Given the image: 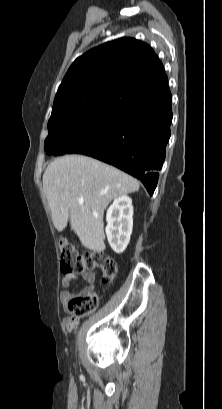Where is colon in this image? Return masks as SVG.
Returning a JSON list of instances; mask_svg holds the SVG:
<instances>
[{"label":"colon","instance_id":"5ec220e1","mask_svg":"<svg viewBox=\"0 0 222 409\" xmlns=\"http://www.w3.org/2000/svg\"><path fill=\"white\" fill-rule=\"evenodd\" d=\"M60 267L63 273H86L94 269L102 270V282L111 283L117 274L115 261L98 251L80 253L74 244L66 239L59 242ZM99 297L96 292L87 291L75 295L68 302L72 316L80 318L92 313L98 306Z\"/></svg>","mask_w":222,"mask_h":409}]
</instances>
